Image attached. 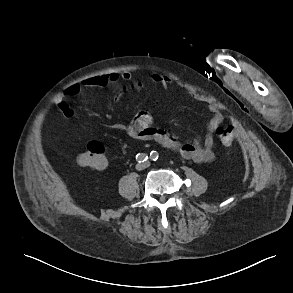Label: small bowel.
Masks as SVG:
<instances>
[{"instance_id": "small-bowel-1", "label": "small bowel", "mask_w": 293, "mask_h": 293, "mask_svg": "<svg viewBox=\"0 0 293 293\" xmlns=\"http://www.w3.org/2000/svg\"><path fill=\"white\" fill-rule=\"evenodd\" d=\"M121 81L129 82L134 88H141L143 83L141 81H131L129 73H122L121 75H102L92 77L85 80L82 84H72L68 86L62 93L54 98V104L58 107L65 117H72L74 110L67 104V100L77 95L82 87H105L108 85H118ZM151 81L155 84L167 88L174 84V81L166 75L154 73L151 76ZM122 90L126 88L121 86ZM194 98L201 100L198 96L193 95ZM119 96L115 97V101ZM212 117L208 124V133L203 141L195 139L190 142H181L176 139L170 132L156 127L153 122L151 114L148 112L138 113L134 119L127 125L122 123H114L113 129L121 132H126L129 136L137 140L154 141L166 148L180 153L184 158L198 163H209L215 158L214 147V132L216 128L223 122V115L215 108L210 107Z\"/></svg>"}]
</instances>
